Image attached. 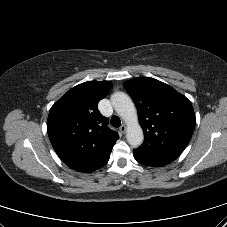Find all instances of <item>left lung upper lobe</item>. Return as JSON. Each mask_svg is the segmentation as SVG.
<instances>
[{
    "label": "left lung upper lobe",
    "mask_w": 227,
    "mask_h": 227,
    "mask_svg": "<svg viewBox=\"0 0 227 227\" xmlns=\"http://www.w3.org/2000/svg\"><path fill=\"white\" fill-rule=\"evenodd\" d=\"M124 87L135 102L144 131L140 148L178 157L195 128L190 101L171 86L149 77L126 81Z\"/></svg>",
    "instance_id": "5c2ea615"
}]
</instances>
